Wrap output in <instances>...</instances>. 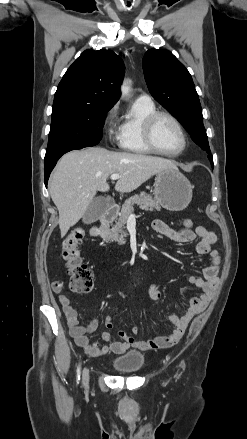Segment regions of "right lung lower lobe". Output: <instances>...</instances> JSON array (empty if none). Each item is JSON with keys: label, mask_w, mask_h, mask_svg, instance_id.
Instances as JSON below:
<instances>
[{"label": "right lung lower lobe", "mask_w": 247, "mask_h": 439, "mask_svg": "<svg viewBox=\"0 0 247 439\" xmlns=\"http://www.w3.org/2000/svg\"><path fill=\"white\" fill-rule=\"evenodd\" d=\"M56 163H57V160L52 162L48 166H45V185H47L49 175H50L52 169L54 168V166L56 165Z\"/></svg>", "instance_id": "98d812e1"}]
</instances>
